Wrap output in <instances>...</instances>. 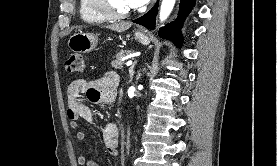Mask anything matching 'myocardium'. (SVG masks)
Here are the masks:
<instances>
[{
    "instance_id": "1",
    "label": "myocardium",
    "mask_w": 277,
    "mask_h": 166,
    "mask_svg": "<svg viewBox=\"0 0 277 166\" xmlns=\"http://www.w3.org/2000/svg\"><path fill=\"white\" fill-rule=\"evenodd\" d=\"M86 2L90 10L104 17L106 20H121L132 15V10L121 13L113 11L106 0H86Z\"/></svg>"
}]
</instances>
